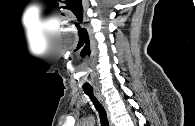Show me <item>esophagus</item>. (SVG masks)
<instances>
[{
  "label": "esophagus",
  "mask_w": 195,
  "mask_h": 126,
  "mask_svg": "<svg viewBox=\"0 0 195 126\" xmlns=\"http://www.w3.org/2000/svg\"><path fill=\"white\" fill-rule=\"evenodd\" d=\"M95 96L98 99V101L101 103L103 108L105 109V112L107 114V118L109 120V124H110V126H112V123L110 121V111H109L108 106H107V104H106V102H105V100H104V98H103V96L98 88H95Z\"/></svg>",
  "instance_id": "34e87169"
}]
</instances>
